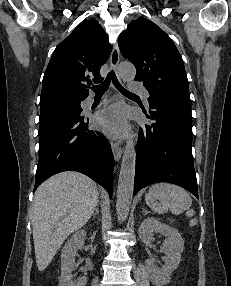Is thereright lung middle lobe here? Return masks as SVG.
<instances>
[{"instance_id":"obj_1","label":"right lung middle lobe","mask_w":231,"mask_h":286,"mask_svg":"<svg viewBox=\"0 0 231 286\" xmlns=\"http://www.w3.org/2000/svg\"><path fill=\"white\" fill-rule=\"evenodd\" d=\"M80 102H65L41 108L39 125L41 126L64 117L79 116L82 111Z\"/></svg>"}]
</instances>
